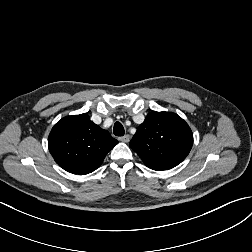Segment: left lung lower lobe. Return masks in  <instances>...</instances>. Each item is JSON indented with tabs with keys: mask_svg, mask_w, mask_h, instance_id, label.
<instances>
[{
	"mask_svg": "<svg viewBox=\"0 0 252 252\" xmlns=\"http://www.w3.org/2000/svg\"><path fill=\"white\" fill-rule=\"evenodd\" d=\"M178 164L176 163H160V164H156L155 166L151 167V169L153 170H168L171 169L175 166H177Z\"/></svg>",
	"mask_w": 252,
	"mask_h": 252,
	"instance_id": "obj_1",
	"label": "left lung lower lobe"
}]
</instances>
